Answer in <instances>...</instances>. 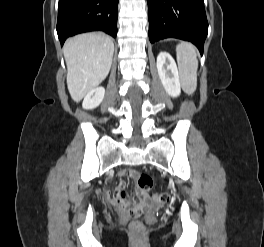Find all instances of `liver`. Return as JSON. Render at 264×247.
<instances>
[{
  "label": "liver",
  "mask_w": 264,
  "mask_h": 247,
  "mask_svg": "<svg viewBox=\"0 0 264 247\" xmlns=\"http://www.w3.org/2000/svg\"><path fill=\"white\" fill-rule=\"evenodd\" d=\"M63 53L67 65V87L79 102L107 77L112 64L114 44L100 33H84L68 39Z\"/></svg>",
  "instance_id": "liver-1"
}]
</instances>
